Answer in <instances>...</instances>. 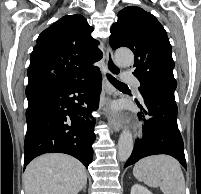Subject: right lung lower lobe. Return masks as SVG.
<instances>
[{"label": "right lung lower lobe", "mask_w": 201, "mask_h": 194, "mask_svg": "<svg viewBox=\"0 0 201 194\" xmlns=\"http://www.w3.org/2000/svg\"><path fill=\"white\" fill-rule=\"evenodd\" d=\"M101 82L97 71L72 85L46 83L26 88L24 166L36 156L58 152L72 155L88 167L95 140V120L90 113L98 108Z\"/></svg>", "instance_id": "98d812e1"}]
</instances>
